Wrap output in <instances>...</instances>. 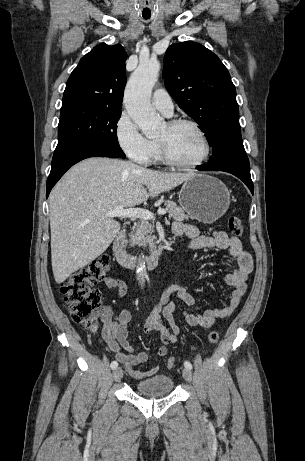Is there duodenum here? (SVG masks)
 <instances>
[{"instance_id":"1","label":"duodenum","mask_w":305,"mask_h":461,"mask_svg":"<svg viewBox=\"0 0 305 461\" xmlns=\"http://www.w3.org/2000/svg\"><path fill=\"white\" fill-rule=\"evenodd\" d=\"M125 241L126 234L124 231H121L115 237L112 244L113 258L119 265L137 267L140 263H144L148 269H154L158 265L163 254L161 249H155L151 251L145 259L140 260L126 251Z\"/></svg>"}]
</instances>
